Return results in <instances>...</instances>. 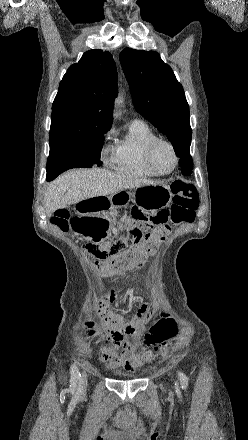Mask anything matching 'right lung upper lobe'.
Wrapping results in <instances>:
<instances>
[{"instance_id":"right-lung-upper-lobe-1","label":"right lung upper lobe","mask_w":248,"mask_h":440,"mask_svg":"<svg viewBox=\"0 0 248 440\" xmlns=\"http://www.w3.org/2000/svg\"><path fill=\"white\" fill-rule=\"evenodd\" d=\"M117 70L112 55L90 50L64 75L52 106L50 145L109 130Z\"/></svg>"}]
</instances>
